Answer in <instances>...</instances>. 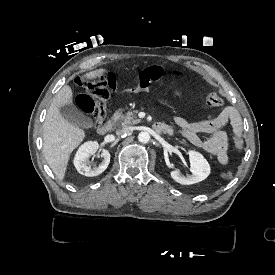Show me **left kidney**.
<instances>
[{"label": "left kidney", "instance_id": "1", "mask_svg": "<svg viewBox=\"0 0 275 275\" xmlns=\"http://www.w3.org/2000/svg\"><path fill=\"white\" fill-rule=\"evenodd\" d=\"M192 176H182L180 171H172L171 177L181 185H192L205 180L210 174V165L202 154L189 152Z\"/></svg>", "mask_w": 275, "mask_h": 275}]
</instances>
